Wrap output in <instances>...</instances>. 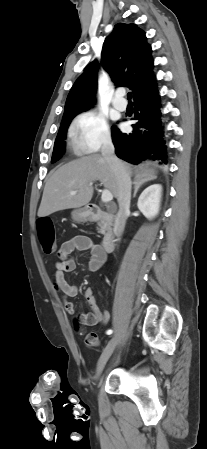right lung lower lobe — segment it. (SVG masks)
Segmentation results:
<instances>
[{"label": "right lung lower lobe", "mask_w": 207, "mask_h": 449, "mask_svg": "<svg viewBox=\"0 0 207 449\" xmlns=\"http://www.w3.org/2000/svg\"><path fill=\"white\" fill-rule=\"evenodd\" d=\"M134 106V120L137 122L132 125V133L126 134L116 127L112 128L116 155L134 164L146 159L160 160L166 164L167 146L157 87L134 98Z\"/></svg>", "instance_id": "obj_1"}]
</instances>
